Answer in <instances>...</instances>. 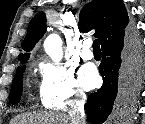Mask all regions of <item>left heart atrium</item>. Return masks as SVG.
<instances>
[{
    "instance_id": "obj_1",
    "label": "left heart atrium",
    "mask_w": 145,
    "mask_h": 124,
    "mask_svg": "<svg viewBox=\"0 0 145 124\" xmlns=\"http://www.w3.org/2000/svg\"><path fill=\"white\" fill-rule=\"evenodd\" d=\"M80 81L85 89L93 88L98 82V75L93 65H85L80 71Z\"/></svg>"
}]
</instances>
